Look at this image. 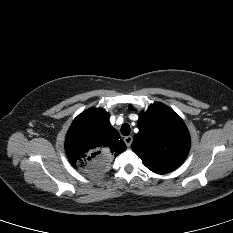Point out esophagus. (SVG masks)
Segmentation results:
<instances>
[{"label": "esophagus", "mask_w": 233, "mask_h": 233, "mask_svg": "<svg viewBox=\"0 0 233 233\" xmlns=\"http://www.w3.org/2000/svg\"><path fill=\"white\" fill-rule=\"evenodd\" d=\"M132 141H133V137H132V136H126V137L124 138V142H125V144H126L127 147H130V146H131Z\"/></svg>", "instance_id": "1"}]
</instances>
